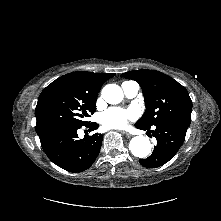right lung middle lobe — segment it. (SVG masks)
<instances>
[{"instance_id": "dd1d6c3e", "label": "right lung middle lobe", "mask_w": 221, "mask_h": 221, "mask_svg": "<svg viewBox=\"0 0 221 221\" xmlns=\"http://www.w3.org/2000/svg\"><path fill=\"white\" fill-rule=\"evenodd\" d=\"M96 99L67 80L56 79L40 94L35 109L36 132L41 135L51 129L82 127L96 110Z\"/></svg>"}]
</instances>
